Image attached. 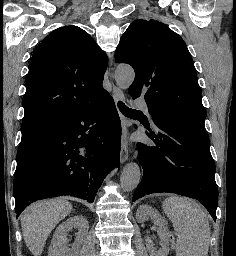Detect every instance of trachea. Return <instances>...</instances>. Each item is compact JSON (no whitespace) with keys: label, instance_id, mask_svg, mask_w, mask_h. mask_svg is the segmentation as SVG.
Instances as JSON below:
<instances>
[{"label":"trachea","instance_id":"3493384b","mask_svg":"<svg viewBox=\"0 0 236 256\" xmlns=\"http://www.w3.org/2000/svg\"><path fill=\"white\" fill-rule=\"evenodd\" d=\"M119 110L123 113V115L132 114L139 112L138 110H133L132 108H128L122 101H118Z\"/></svg>","mask_w":236,"mask_h":256}]
</instances>
